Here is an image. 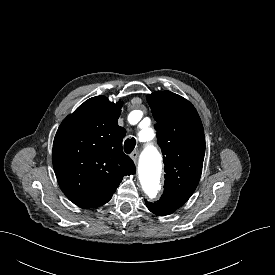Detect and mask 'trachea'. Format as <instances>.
<instances>
[{"instance_id":"obj_1","label":"trachea","mask_w":275,"mask_h":275,"mask_svg":"<svg viewBox=\"0 0 275 275\" xmlns=\"http://www.w3.org/2000/svg\"><path fill=\"white\" fill-rule=\"evenodd\" d=\"M135 145H136V140L135 138H128L125 140L124 142V151L127 153V154H130L133 149L135 148Z\"/></svg>"}]
</instances>
